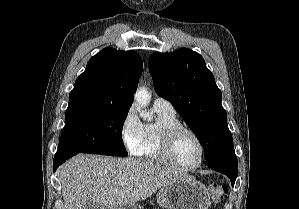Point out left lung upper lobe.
Segmentation results:
<instances>
[{
  "instance_id": "1",
  "label": "left lung upper lobe",
  "mask_w": 299,
  "mask_h": 209,
  "mask_svg": "<svg viewBox=\"0 0 299 209\" xmlns=\"http://www.w3.org/2000/svg\"><path fill=\"white\" fill-rule=\"evenodd\" d=\"M157 94L172 103L198 137L209 166L233 147L222 93L198 53L183 48L148 60Z\"/></svg>"
}]
</instances>
